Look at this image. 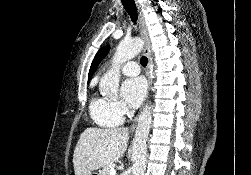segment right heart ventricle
<instances>
[{"label": "right heart ventricle", "instance_id": "obj_1", "mask_svg": "<svg viewBox=\"0 0 251 175\" xmlns=\"http://www.w3.org/2000/svg\"><path fill=\"white\" fill-rule=\"evenodd\" d=\"M88 109L90 116L99 126L115 128L120 124L111 111V103L106 98L94 96Z\"/></svg>", "mask_w": 251, "mask_h": 175}]
</instances>
